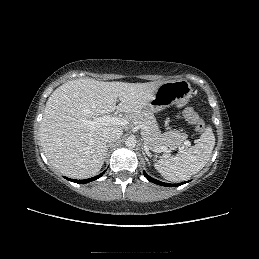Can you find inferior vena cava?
Segmentation results:
<instances>
[{
    "label": "inferior vena cava",
    "instance_id": "obj_1",
    "mask_svg": "<svg viewBox=\"0 0 259 259\" xmlns=\"http://www.w3.org/2000/svg\"><path fill=\"white\" fill-rule=\"evenodd\" d=\"M122 134H123L122 131L119 129L110 130L104 136L105 141L109 144L114 143L122 136Z\"/></svg>",
    "mask_w": 259,
    "mask_h": 259
}]
</instances>
